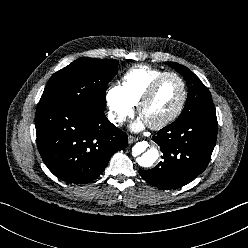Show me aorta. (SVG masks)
<instances>
[{
  "instance_id": "762f6f07",
  "label": "aorta",
  "mask_w": 248,
  "mask_h": 248,
  "mask_svg": "<svg viewBox=\"0 0 248 248\" xmlns=\"http://www.w3.org/2000/svg\"><path fill=\"white\" fill-rule=\"evenodd\" d=\"M132 155L136 158V162L141 167H151L159 157V151L150 147L148 142H137L132 148Z\"/></svg>"
}]
</instances>
